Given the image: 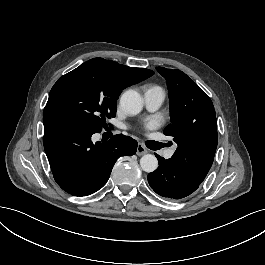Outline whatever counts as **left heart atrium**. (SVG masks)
Wrapping results in <instances>:
<instances>
[{
  "label": "left heart atrium",
  "mask_w": 265,
  "mask_h": 265,
  "mask_svg": "<svg viewBox=\"0 0 265 265\" xmlns=\"http://www.w3.org/2000/svg\"><path fill=\"white\" fill-rule=\"evenodd\" d=\"M156 125H157V124H156L155 121H150V122H148V124H147V126H148L149 128H154Z\"/></svg>",
  "instance_id": "left-heart-atrium-1"
}]
</instances>
